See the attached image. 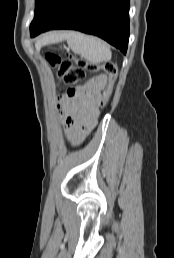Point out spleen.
Instances as JSON below:
<instances>
[{"mask_svg": "<svg viewBox=\"0 0 174 258\" xmlns=\"http://www.w3.org/2000/svg\"><path fill=\"white\" fill-rule=\"evenodd\" d=\"M62 36L67 39L68 46L74 53L83 55L92 63L109 61L111 59V50L101 39L79 32H68ZM46 39L54 38L49 36Z\"/></svg>", "mask_w": 174, "mask_h": 258, "instance_id": "3e777b00", "label": "spleen"}]
</instances>
